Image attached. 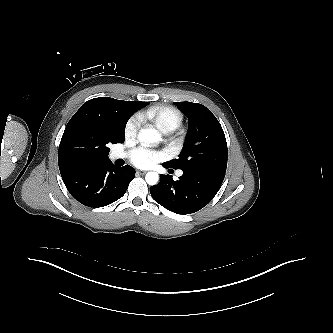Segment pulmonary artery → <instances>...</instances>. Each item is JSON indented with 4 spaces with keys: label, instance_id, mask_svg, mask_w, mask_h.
Listing matches in <instances>:
<instances>
[{
    "label": "pulmonary artery",
    "instance_id": "e3ab8cb5",
    "mask_svg": "<svg viewBox=\"0 0 333 333\" xmlns=\"http://www.w3.org/2000/svg\"><path fill=\"white\" fill-rule=\"evenodd\" d=\"M126 156V154L122 151H113L111 154H110V158L112 160H117V159H122ZM177 175L178 176H181L182 175V171H178L177 172Z\"/></svg>",
    "mask_w": 333,
    "mask_h": 333
}]
</instances>
